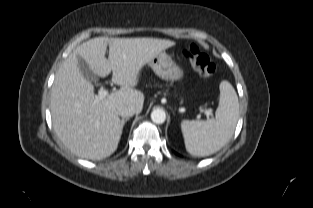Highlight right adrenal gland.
Here are the masks:
<instances>
[{
	"label": "right adrenal gland",
	"instance_id": "1",
	"mask_svg": "<svg viewBox=\"0 0 313 208\" xmlns=\"http://www.w3.org/2000/svg\"><path fill=\"white\" fill-rule=\"evenodd\" d=\"M129 120V118L127 117V118H123L122 120H121V128L123 129V126L125 125V123L127 122Z\"/></svg>",
	"mask_w": 313,
	"mask_h": 208
}]
</instances>
